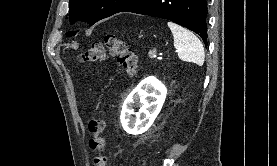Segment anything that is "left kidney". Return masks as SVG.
Returning <instances> with one entry per match:
<instances>
[{"label": "left kidney", "mask_w": 277, "mask_h": 166, "mask_svg": "<svg viewBox=\"0 0 277 166\" xmlns=\"http://www.w3.org/2000/svg\"><path fill=\"white\" fill-rule=\"evenodd\" d=\"M166 94L165 85L153 76L140 82L123 103L120 115L123 129L132 135L147 131L161 111ZM135 106H140L139 112H134Z\"/></svg>", "instance_id": "1"}]
</instances>
